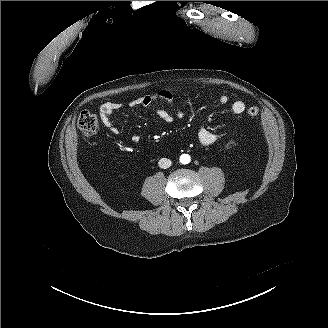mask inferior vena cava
Segmentation results:
<instances>
[{
	"mask_svg": "<svg viewBox=\"0 0 328 328\" xmlns=\"http://www.w3.org/2000/svg\"><path fill=\"white\" fill-rule=\"evenodd\" d=\"M172 162L170 159L162 158L159 160V167L163 169H167L171 166Z\"/></svg>",
	"mask_w": 328,
	"mask_h": 328,
	"instance_id": "602c4592",
	"label": "inferior vena cava"
}]
</instances>
